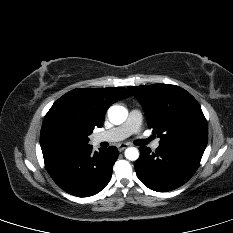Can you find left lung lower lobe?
I'll use <instances>...</instances> for the list:
<instances>
[{
    "label": "left lung lower lobe",
    "mask_w": 233,
    "mask_h": 233,
    "mask_svg": "<svg viewBox=\"0 0 233 233\" xmlns=\"http://www.w3.org/2000/svg\"><path fill=\"white\" fill-rule=\"evenodd\" d=\"M206 146L197 144L159 145L155 153L140 147L135 170L148 188L166 192L186 183L196 172Z\"/></svg>",
    "instance_id": "0a47b994"
}]
</instances>
